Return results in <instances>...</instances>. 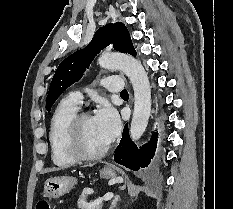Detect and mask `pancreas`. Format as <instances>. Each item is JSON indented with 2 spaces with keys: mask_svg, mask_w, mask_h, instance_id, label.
<instances>
[{
  "mask_svg": "<svg viewBox=\"0 0 233 209\" xmlns=\"http://www.w3.org/2000/svg\"><path fill=\"white\" fill-rule=\"evenodd\" d=\"M87 193L88 189H84L82 194L80 195L77 205L80 209H102L103 200L97 201H87Z\"/></svg>",
  "mask_w": 233,
  "mask_h": 209,
  "instance_id": "cf45deb5",
  "label": "pancreas"
}]
</instances>
